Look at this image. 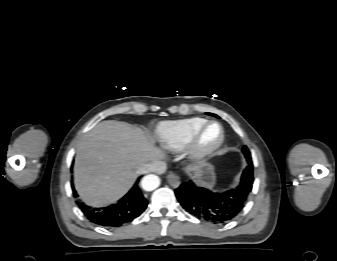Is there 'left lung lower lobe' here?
<instances>
[{
    "instance_id": "0a47b994",
    "label": "left lung lower lobe",
    "mask_w": 337,
    "mask_h": 261,
    "mask_svg": "<svg viewBox=\"0 0 337 261\" xmlns=\"http://www.w3.org/2000/svg\"><path fill=\"white\" fill-rule=\"evenodd\" d=\"M253 168H246L239 185L231 190L214 193L184 182L175 194L182 207L193 216L215 224L226 223L240 214L252 191Z\"/></svg>"
}]
</instances>
